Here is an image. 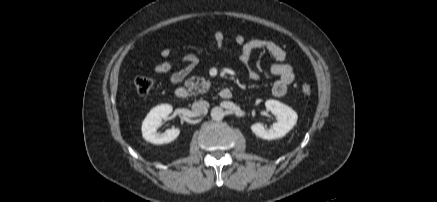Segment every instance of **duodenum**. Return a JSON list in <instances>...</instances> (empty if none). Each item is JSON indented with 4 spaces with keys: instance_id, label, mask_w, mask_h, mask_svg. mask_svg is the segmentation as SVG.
Here are the masks:
<instances>
[{
    "instance_id": "1",
    "label": "duodenum",
    "mask_w": 437,
    "mask_h": 202,
    "mask_svg": "<svg viewBox=\"0 0 437 202\" xmlns=\"http://www.w3.org/2000/svg\"><path fill=\"white\" fill-rule=\"evenodd\" d=\"M175 96H176L178 99H181V100H184V99L188 98V96H189L188 89H187L186 87H184V86H179V87H177V88L175 89ZM219 96H220L222 99L227 100V99H231L232 96H233V94H232V91H231L230 89H228V88H223V89L220 90V92H219Z\"/></svg>"
}]
</instances>
